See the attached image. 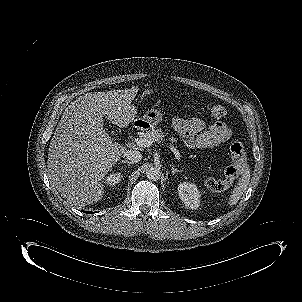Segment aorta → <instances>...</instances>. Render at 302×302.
Wrapping results in <instances>:
<instances>
[{
    "instance_id": "obj_1",
    "label": "aorta",
    "mask_w": 302,
    "mask_h": 302,
    "mask_svg": "<svg viewBox=\"0 0 302 302\" xmlns=\"http://www.w3.org/2000/svg\"><path fill=\"white\" fill-rule=\"evenodd\" d=\"M161 176L160 169L156 166H151L146 170V177L149 180H158Z\"/></svg>"
}]
</instances>
